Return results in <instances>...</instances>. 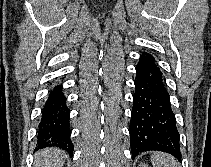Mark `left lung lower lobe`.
<instances>
[{
  "mask_svg": "<svg viewBox=\"0 0 211 167\" xmlns=\"http://www.w3.org/2000/svg\"><path fill=\"white\" fill-rule=\"evenodd\" d=\"M129 126L132 156L157 150L181 157L175 114L160 68L150 53L140 55Z\"/></svg>",
  "mask_w": 211,
  "mask_h": 167,
  "instance_id": "left-lung-lower-lobe-1",
  "label": "left lung lower lobe"
}]
</instances>
